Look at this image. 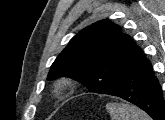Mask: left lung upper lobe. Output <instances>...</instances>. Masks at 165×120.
Returning a JSON list of instances; mask_svg holds the SVG:
<instances>
[{"label":"left lung upper lobe","mask_w":165,"mask_h":120,"mask_svg":"<svg viewBox=\"0 0 165 120\" xmlns=\"http://www.w3.org/2000/svg\"><path fill=\"white\" fill-rule=\"evenodd\" d=\"M138 48L120 26L100 20L71 39L52 64L47 80L67 76L89 92L109 94L121 84Z\"/></svg>","instance_id":"5c2ea615"}]
</instances>
